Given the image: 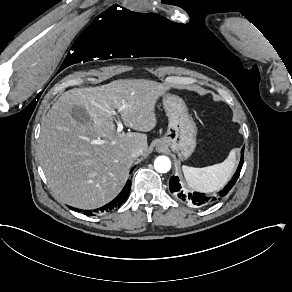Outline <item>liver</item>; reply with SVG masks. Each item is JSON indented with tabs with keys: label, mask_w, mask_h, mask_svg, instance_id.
<instances>
[{
	"label": "liver",
	"mask_w": 292,
	"mask_h": 292,
	"mask_svg": "<svg viewBox=\"0 0 292 292\" xmlns=\"http://www.w3.org/2000/svg\"><path fill=\"white\" fill-rule=\"evenodd\" d=\"M166 90L155 81L120 79L63 93L43 118L39 139L40 165L56 198L80 209L114 199L134 162L133 150L147 155L148 144L146 134L115 133L112 111L118 110L125 126L148 132L156 125L155 103ZM73 105L85 107L90 120H74ZM100 138L103 144L93 143Z\"/></svg>",
	"instance_id": "obj_1"
}]
</instances>
